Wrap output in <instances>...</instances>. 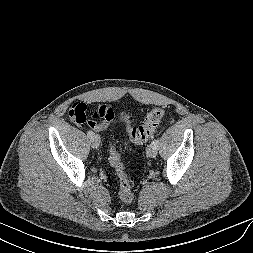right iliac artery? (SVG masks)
Segmentation results:
<instances>
[{"label": "right iliac artery", "instance_id": "obj_1", "mask_svg": "<svg viewBox=\"0 0 253 253\" xmlns=\"http://www.w3.org/2000/svg\"><path fill=\"white\" fill-rule=\"evenodd\" d=\"M87 136L90 137V138H92L94 136V133L92 131H88L87 132Z\"/></svg>", "mask_w": 253, "mask_h": 253}]
</instances>
